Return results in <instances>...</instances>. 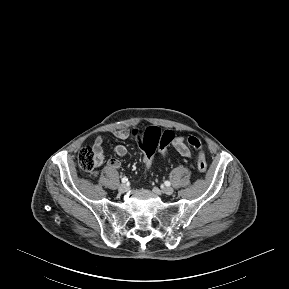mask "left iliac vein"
Listing matches in <instances>:
<instances>
[{
    "instance_id": "1",
    "label": "left iliac vein",
    "mask_w": 289,
    "mask_h": 289,
    "mask_svg": "<svg viewBox=\"0 0 289 289\" xmlns=\"http://www.w3.org/2000/svg\"><path fill=\"white\" fill-rule=\"evenodd\" d=\"M153 190H154V192H157V188H154ZM173 192H174V189L172 187H165L163 189V193H165L167 195H171V194H173Z\"/></svg>"
}]
</instances>
